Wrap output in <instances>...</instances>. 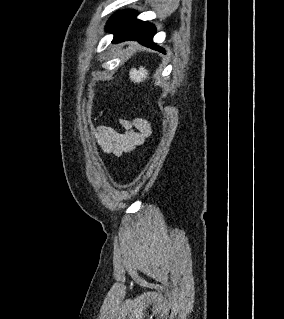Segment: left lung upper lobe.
Masks as SVG:
<instances>
[{
  "mask_svg": "<svg viewBox=\"0 0 284 319\" xmlns=\"http://www.w3.org/2000/svg\"><path fill=\"white\" fill-rule=\"evenodd\" d=\"M113 17H114V16H112V17L110 18L109 22L112 20ZM109 22H108V23H109Z\"/></svg>",
  "mask_w": 284,
  "mask_h": 319,
  "instance_id": "obj_1",
  "label": "left lung upper lobe"
}]
</instances>
